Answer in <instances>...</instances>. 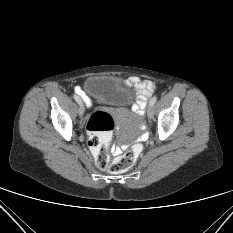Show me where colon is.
I'll use <instances>...</instances> for the list:
<instances>
[{"mask_svg": "<svg viewBox=\"0 0 233 233\" xmlns=\"http://www.w3.org/2000/svg\"><path fill=\"white\" fill-rule=\"evenodd\" d=\"M115 127L113 117L106 111L94 112L87 122L88 145L97 166L111 173L130 169L142 152V145L135 144L125 154L110 161L108 143Z\"/></svg>", "mask_w": 233, "mask_h": 233, "instance_id": "obj_1", "label": "colon"}]
</instances>
